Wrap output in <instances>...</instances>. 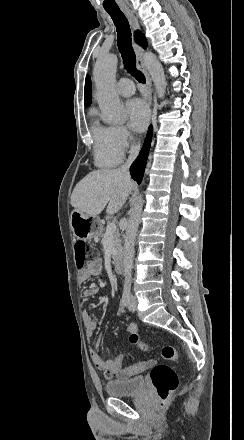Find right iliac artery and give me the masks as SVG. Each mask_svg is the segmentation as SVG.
I'll list each match as a JSON object with an SVG mask.
<instances>
[{
  "label": "right iliac artery",
  "instance_id": "obj_1",
  "mask_svg": "<svg viewBox=\"0 0 244 440\" xmlns=\"http://www.w3.org/2000/svg\"><path fill=\"white\" fill-rule=\"evenodd\" d=\"M129 299H130V288L124 287L122 300H121L122 305L126 307L129 304Z\"/></svg>",
  "mask_w": 244,
  "mask_h": 440
}]
</instances>
